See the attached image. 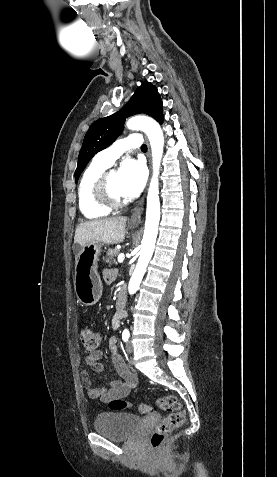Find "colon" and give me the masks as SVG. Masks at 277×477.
<instances>
[{"label": "colon", "instance_id": "obj_1", "mask_svg": "<svg viewBox=\"0 0 277 477\" xmlns=\"http://www.w3.org/2000/svg\"><path fill=\"white\" fill-rule=\"evenodd\" d=\"M80 342L83 352L86 355L95 353L101 343V333L94 329L91 325H84L80 330ZM157 405L168 415L161 420L154 428L150 444L153 449H159L172 430L182 426L185 422V412L178 398L174 395H167L157 400ZM109 406L114 411H121L132 406L131 403L123 399H114L109 403ZM150 406L147 404H139L138 410L140 413H147L150 411Z\"/></svg>", "mask_w": 277, "mask_h": 477}]
</instances>
